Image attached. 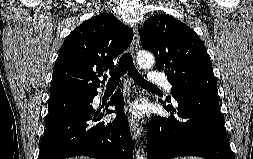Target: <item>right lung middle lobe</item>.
<instances>
[{
    "label": "right lung middle lobe",
    "mask_w": 253,
    "mask_h": 159,
    "mask_svg": "<svg viewBox=\"0 0 253 159\" xmlns=\"http://www.w3.org/2000/svg\"><path fill=\"white\" fill-rule=\"evenodd\" d=\"M92 98L93 94H87L49 101V113L46 120V124L72 109H75L81 105L89 104L92 101Z\"/></svg>",
    "instance_id": "1"
}]
</instances>
